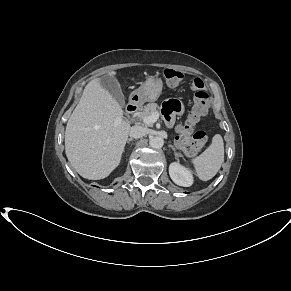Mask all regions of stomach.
Instances as JSON below:
<instances>
[{
  "mask_svg": "<svg viewBox=\"0 0 291 291\" xmlns=\"http://www.w3.org/2000/svg\"><path fill=\"white\" fill-rule=\"evenodd\" d=\"M163 82L158 77H148L147 80L130 95L133 103L152 102L162 93Z\"/></svg>",
  "mask_w": 291,
  "mask_h": 291,
  "instance_id": "0dacf381",
  "label": "stomach"
}]
</instances>
